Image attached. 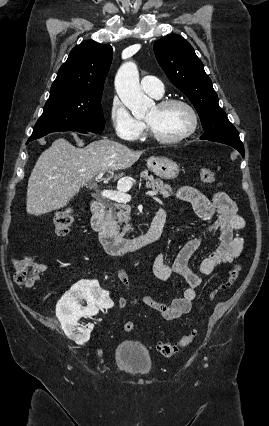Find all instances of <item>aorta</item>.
<instances>
[{"label":"aorta","instance_id":"obj_1","mask_svg":"<svg viewBox=\"0 0 269 426\" xmlns=\"http://www.w3.org/2000/svg\"><path fill=\"white\" fill-rule=\"evenodd\" d=\"M115 86L121 101L135 118L144 117L153 105V101L141 90L139 72L134 63L127 62L120 67Z\"/></svg>","mask_w":269,"mask_h":426}]
</instances>
